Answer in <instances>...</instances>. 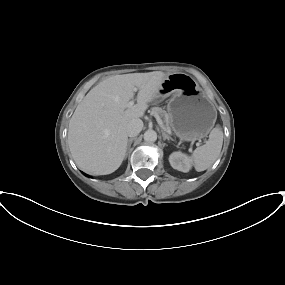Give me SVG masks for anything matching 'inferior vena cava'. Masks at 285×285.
<instances>
[{
    "label": "inferior vena cava",
    "instance_id": "obj_1",
    "mask_svg": "<svg viewBox=\"0 0 285 285\" xmlns=\"http://www.w3.org/2000/svg\"><path fill=\"white\" fill-rule=\"evenodd\" d=\"M143 128V122L141 119H133L131 120L127 127L126 132L129 137L137 136Z\"/></svg>",
    "mask_w": 285,
    "mask_h": 285
}]
</instances>
